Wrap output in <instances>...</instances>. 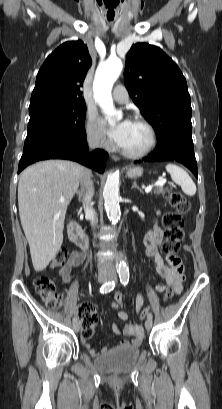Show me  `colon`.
Listing matches in <instances>:
<instances>
[{
	"instance_id": "obj_1",
	"label": "colon",
	"mask_w": 222,
	"mask_h": 409,
	"mask_svg": "<svg viewBox=\"0 0 222 409\" xmlns=\"http://www.w3.org/2000/svg\"><path fill=\"white\" fill-rule=\"evenodd\" d=\"M164 196L173 208V211L167 212L163 217V225L165 228L163 250L168 259V256H176L181 241L183 240V219L190 209V203L185 195L179 191L166 190ZM66 262L67 252L62 249L55 254L51 266L55 269L63 268ZM34 286L48 307L57 309L61 306L62 298L57 292L54 282L48 276H37L34 279ZM173 295L174 292L168 290L164 295V300L170 299ZM149 310H151V307L146 306L141 312V318H147ZM77 314L81 321L82 338H91L97 323L96 311L89 304H82L78 308Z\"/></svg>"
}]
</instances>
